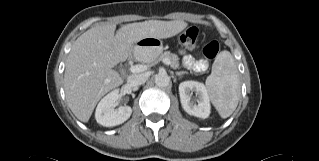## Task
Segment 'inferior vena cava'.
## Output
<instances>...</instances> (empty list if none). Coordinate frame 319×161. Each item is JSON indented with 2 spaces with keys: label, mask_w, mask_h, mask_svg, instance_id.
Here are the masks:
<instances>
[{
  "label": "inferior vena cava",
  "mask_w": 319,
  "mask_h": 161,
  "mask_svg": "<svg viewBox=\"0 0 319 161\" xmlns=\"http://www.w3.org/2000/svg\"><path fill=\"white\" fill-rule=\"evenodd\" d=\"M148 79V75L146 73L142 74H133L127 78V82L133 86H138L144 84Z\"/></svg>",
  "instance_id": "obj_1"
}]
</instances>
